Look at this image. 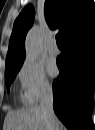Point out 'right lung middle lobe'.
Segmentation results:
<instances>
[{
	"label": "right lung middle lobe",
	"instance_id": "right-lung-middle-lobe-1",
	"mask_svg": "<svg viewBox=\"0 0 95 130\" xmlns=\"http://www.w3.org/2000/svg\"><path fill=\"white\" fill-rule=\"evenodd\" d=\"M20 68L21 67L5 70V81H6L7 88L10 87V84L15 79V76L18 73V71L20 70Z\"/></svg>",
	"mask_w": 95,
	"mask_h": 130
}]
</instances>
